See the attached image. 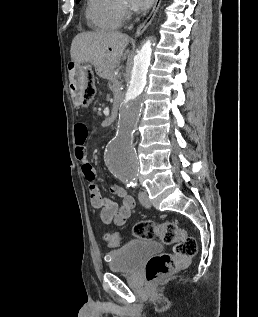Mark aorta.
Listing matches in <instances>:
<instances>
[{"mask_svg":"<svg viewBox=\"0 0 258 317\" xmlns=\"http://www.w3.org/2000/svg\"><path fill=\"white\" fill-rule=\"evenodd\" d=\"M151 54V42L147 40L134 58L131 79L120 106L117 133L105 154V161L111 173L121 180H133L139 172V160L133 147V133L140 117L141 94L146 86Z\"/></svg>","mask_w":258,"mask_h":317,"instance_id":"1","label":"aorta"}]
</instances>
